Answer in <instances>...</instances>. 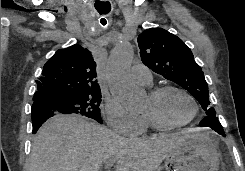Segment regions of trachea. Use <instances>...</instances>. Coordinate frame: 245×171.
<instances>
[{
	"mask_svg": "<svg viewBox=\"0 0 245 171\" xmlns=\"http://www.w3.org/2000/svg\"><path fill=\"white\" fill-rule=\"evenodd\" d=\"M95 8L100 15H106L111 11V5L109 2L97 1L95 3ZM100 23L105 26L107 24V20L105 18H101Z\"/></svg>",
	"mask_w": 245,
	"mask_h": 171,
	"instance_id": "3493384b",
	"label": "trachea"
}]
</instances>
